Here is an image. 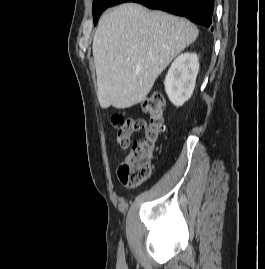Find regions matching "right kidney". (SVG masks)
<instances>
[{
	"label": "right kidney",
	"instance_id": "1",
	"mask_svg": "<svg viewBox=\"0 0 265 269\" xmlns=\"http://www.w3.org/2000/svg\"><path fill=\"white\" fill-rule=\"evenodd\" d=\"M199 71L198 56L195 53L179 55L165 77V91L175 106H182L192 95Z\"/></svg>",
	"mask_w": 265,
	"mask_h": 269
}]
</instances>
